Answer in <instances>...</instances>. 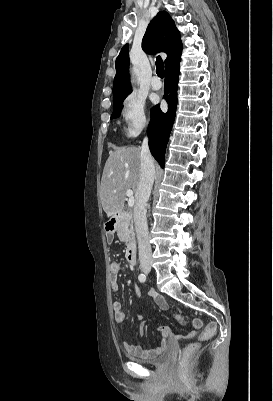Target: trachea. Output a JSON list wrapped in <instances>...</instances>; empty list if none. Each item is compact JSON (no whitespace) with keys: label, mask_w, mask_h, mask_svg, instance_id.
Returning a JSON list of instances; mask_svg holds the SVG:
<instances>
[{"label":"trachea","mask_w":273,"mask_h":401,"mask_svg":"<svg viewBox=\"0 0 273 401\" xmlns=\"http://www.w3.org/2000/svg\"><path fill=\"white\" fill-rule=\"evenodd\" d=\"M156 73L160 78H164L165 76L164 63L160 56L156 59Z\"/></svg>","instance_id":"obj_1"}]
</instances>
